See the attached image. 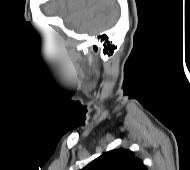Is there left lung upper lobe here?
<instances>
[{
    "instance_id": "1",
    "label": "left lung upper lobe",
    "mask_w": 190,
    "mask_h": 170,
    "mask_svg": "<svg viewBox=\"0 0 190 170\" xmlns=\"http://www.w3.org/2000/svg\"><path fill=\"white\" fill-rule=\"evenodd\" d=\"M81 170H146L143 162L128 149L103 153Z\"/></svg>"
}]
</instances>
